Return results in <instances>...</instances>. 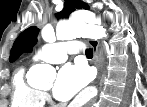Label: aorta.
<instances>
[{
	"instance_id": "obj_1",
	"label": "aorta",
	"mask_w": 147,
	"mask_h": 107,
	"mask_svg": "<svg viewBox=\"0 0 147 107\" xmlns=\"http://www.w3.org/2000/svg\"><path fill=\"white\" fill-rule=\"evenodd\" d=\"M56 36L58 40H69L76 37H86L100 39L107 36L106 30L94 23L92 20H84L82 17H75L69 21H62L57 24ZM44 40L49 39L48 29L42 31ZM56 76L55 69L48 64H37L30 70L29 82L32 85H40L53 80ZM89 93L94 96L95 89H90Z\"/></svg>"
}]
</instances>
